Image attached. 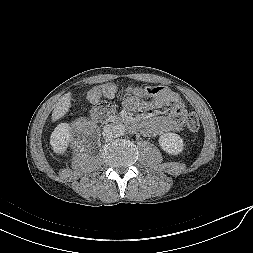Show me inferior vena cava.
Listing matches in <instances>:
<instances>
[{
    "label": "inferior vena cava",
    "instance_id": "1",
    "mask_svg": "<svg viewBox=\"0 0 253 253\" xmlns=\"http://www.w3.org/2000/svg\"><path fill=\"white\" fill-rule=\"evenodd\" d=\"M102 134L106 140H110V139L114 138L116 136L115 132H114V126H112V125L104 126Z\"/></svg>",
    "mask_w": 253,
    "mask_h": 253
}]
</instances>
